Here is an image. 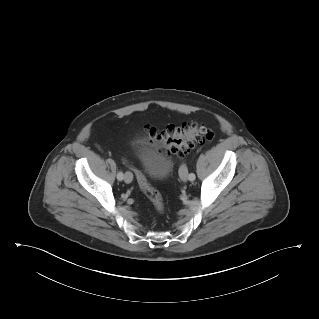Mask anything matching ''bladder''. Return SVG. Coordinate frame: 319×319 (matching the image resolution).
<instances>
[{"label": "bladder", "instance_id": "31cf9c89", "mask_svg": "<svg viewBox=\"0 0 319 319\" xmlns=\"http://www.w3.org/2000/svg\"><path fill=\"white\" fill-rule=\"evenodd\" d=\"M136 151L144 173L149 179L161 180L171 173V161L157 145H139Z\"/></svg>", "mask_w": 319, "mask_h": 319}]
</instances>
